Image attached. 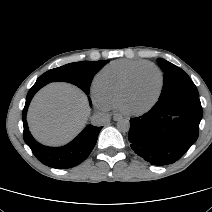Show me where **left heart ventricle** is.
Segmentation results:
<instances>
[{"mask_svg":"<svg viewBox=\"0 0 212 212\" xmlns=\"http://www.w3.org/2000/svg\"><path fill=\"white\" fill-rule=\"evenodd\" d=\"M159 87V75L154 69L142 70L134 83L127 99V106L139 109L148 105L155 97Z\"/></svg>","mask_w":212,"mask_h":212,"instance_id":"b2bd125f","label":"left heart ventricle"}]
</instances>
